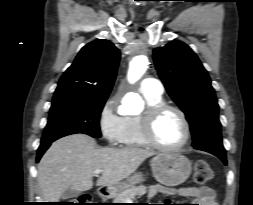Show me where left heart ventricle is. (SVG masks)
<instances>
[{
    "label": "left heart ventricle",
    "mask_w": 253,
    "mask_h": 205,
    "mask_svg": "<svg viewBox=\"0 0 253 205\" xmlns=\"http://www.w3.org/2000/svg\"><path fill=\"white\" fill-rule=\"evenodd\" d=\"M155 134L161 144L175 146L184 140L185 126L177 113L167 111L157 121Z\"/></svg>",
    "instance_id": "obj_1"
}]
</instances>
